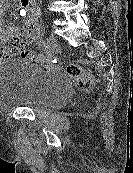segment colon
Masks as SVG:
<instances>
[{
  "label": "colon",
  "mask_w": 133,
  "mask_h": 173,
  "mask_svg": "<svg viewBox=\"0 0 133 173\" xmlns=\"http://www.w3.org/2000/svg\"><path fill=\"white\" fill-rule=\"evenodd\" d=\"M23 46L24 40L18 37H14L5 43L4 47L0 50V53L5 56L19 54L23 59L31 62L40 59L36 53L24 51ZM50 65L60 66L61 64L59 62H50ZM66 73L77 83L79 88L83 90L92 88L96 83L95 76L78 64L68 65L66 67Z\"/></svg>",
  "instance_id": "colon-1"
}]
</instances>
